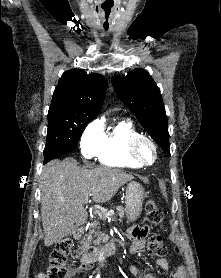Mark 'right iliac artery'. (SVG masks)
<instances>
[{"instance_id":"right-iliac-artery-1","label":"right iliac artery","mask_w":221,"mask_h":278,"mask_svg":"<svg viewBox=\"0 0 221 278\" xmlns=\"http://www.w3.org/2000/svg\"><path fill=\"white\" fill-rule=\"evenodd\" d=\"M100 277V275L98 274L97 276H96V278H99Z\"/></svg>"}]
</instances>
